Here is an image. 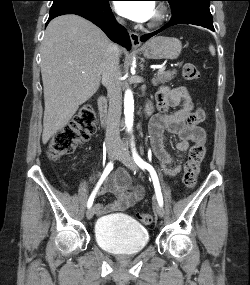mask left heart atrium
Returning a JSON list of instances; mask_svg holds the SVG:
<instances>
[{"label":"left heart atrium","mask_w":250,"mask_h":285,"mask_svg":"<svg viewBox=\"0 0 250 285\" xmlns=\"http://www.w3.org/2000/svg\"><path fill=\"white\" fill-rule=\"evenodd\" d=\"M115 6L121 15L136 22L151 19L155 12L152 1H118Z\"/></svg>","instance_id":"39dd6f15"}]
</instances>
